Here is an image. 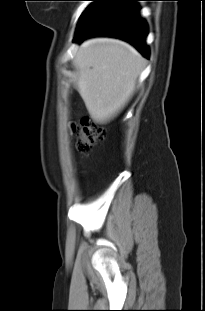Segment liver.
<instances>
[{"label":"liver","instance_id":"6515ba94","mask_svg":"<svg viewBox=\"0 0 205 311\" xmlns=\"http://www.w3.org/2000/svg\"><path fill=\"white\" fill-rule=\"evenodd\" d=\"M73 63L75 86L91 118L104 124L133 96L144 58L123 41L96 38L79 47Z\"/></svg>","mask_w":205,"mask_h":311}]
</instances>
